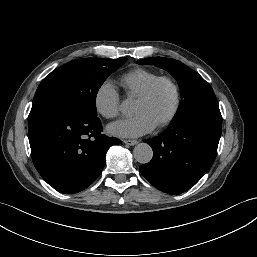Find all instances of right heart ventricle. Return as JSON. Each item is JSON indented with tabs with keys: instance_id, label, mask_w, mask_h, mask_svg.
Returning a JSON list of instances; mask_svg holds the SVG:
<instances>
[{
	"instance_id": "e07e8e85",
	"label": "right heart ventricle",
	"mask_w": 257,
	"mask_h": 257,
	"mask_svg": "<svg viewBox=\"0 0 257 257\" xmlns=\"http://www.w3.org/2000/svg\"><path fill=\"white\" fill-rule=\"evenodd\" d=\"M159 76L157 72L145 68H137L123 74L119 79V84L128 97L136 98Z\"/></svg>"
}]
</instances>
